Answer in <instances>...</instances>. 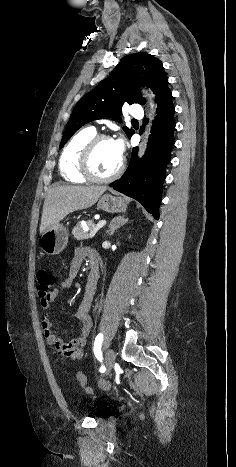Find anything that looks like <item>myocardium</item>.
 <instances>
[{"instance_id":"obj_1","label":"myocardium","mask_w":236,"mask_h":467,"mask_svg":"<svg viewBox=\"0 0 236 467\" xmlns=\"http://www.w3.org/2000/svg\"><path fill=\"white\" fill-rule=\"evenodd\" d=\"M102 141H113L112 138L105 134H96L82 148L79 156V170L81 174L88 180L98 183H106L116 179L124 169V160L121 158L116 170L108 176L101 177L95 174L92 169V157L97 145Z\"/></svg>"}]
</instances>
